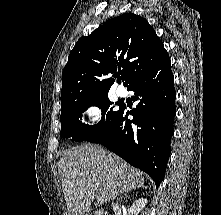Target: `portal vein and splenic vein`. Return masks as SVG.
<instances>
[{
    "instance_id": "1",
    "label": "portal vein and splenic vein",
    "mask_w": 221,
    "mask_h": 215,
    "mask_svg": "<svg viewBox=\"0 0 221 215\" xmlns=\"http://www.w3.org/2000/svg\"><path fill=\"white\" fill-rule=\"evenodd\" d=\"M103 203H104L103 197L101 195L97 196V204H103Z\"/></svg>"
}]
</instances>
